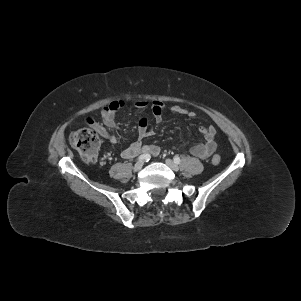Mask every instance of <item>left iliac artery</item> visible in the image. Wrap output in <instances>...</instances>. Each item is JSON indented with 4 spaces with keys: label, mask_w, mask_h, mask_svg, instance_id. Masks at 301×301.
Masks as SVG:
<instances>
[{
    "label": "left iliac artery",
    "mask_w": 301,
    "mask_h": 301,
    "mask_svg": "<svg viewBox=\"0 0 301 301\" xmlns=\"http://www.w3.org/2000/svg\"><path fill=\"white\" fill-rule=\"evenodd\" d=\"M173 160L176 164H179L181 162V160L178 156H174Z\"/></svg>",
    "instance_id": "44dca946"
}]
</instances>
